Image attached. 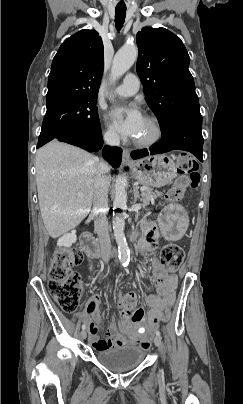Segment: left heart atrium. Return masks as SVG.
<instances>
[{"mask_svg": "<svg viewBox=\"0 0 243 404\" xmlns=\"http://www.w3.org/2000/svg\"><path fill=\"white\" fill-rule=\"evenodd\" d=\"M144 117L136 105L128 109L115 108L109 113L110 126L131 139L136 140L141 134Z\"/></svg>", "mask_w": 243, "mask_h": 404, "instance_id": "39dd6f15", "label": "left heart atrium"}]
</instances>
